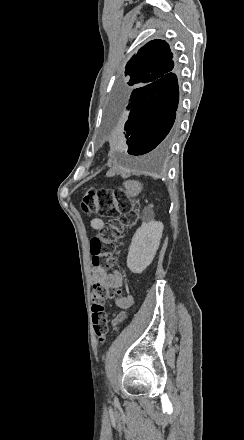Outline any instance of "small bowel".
Listing matches in <instances>:
<instances>
[{"label": "small bowel", "instance_id": "c3829d8e", "mask_svg": "<svg viewBox=\"0 0 244 440\" xmlns=\"http://www.w3.org/2000/svg\"><path fill=\"white\" fill-rule=\"evenodd\" d=\"M90 226L94 230H101L104 226L103 220L99 218H94L90 222ZM91 280L95 285H105L110 288H118L122 284V277L118 271L108 272L104 267L94 266L91 271ZM134 297L132 295H127L116 300V304L121 309H128L134 304ZM126 315L124 312H120L114 315L112 319V325L114 327L118 326L124 319Z\"/></svg>", "mask_w": 244, "mask_h": 440}]
</instances>
